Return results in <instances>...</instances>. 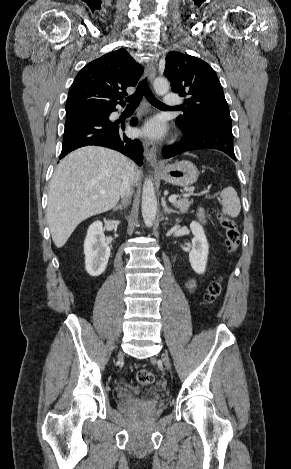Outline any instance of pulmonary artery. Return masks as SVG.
Returning <instances> with one entry per match:
<instances>
[{
	"label": "pulmonary artery",
	"instance_id": "obj_1",
	"mask_svg": "<svg viewBox=\"0 0 291 469\" xmlns=\"http://www.w3.org/2000/svg\"><path fill=\"white\" fill-rule=\"evenodd\" d=\"M164 104L168 107H175L179 104V98L174 93H167L164 97Z\"/></svg>",
	"mask_w": 291,
	"mask_h": 469
}]
</instances>
